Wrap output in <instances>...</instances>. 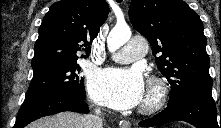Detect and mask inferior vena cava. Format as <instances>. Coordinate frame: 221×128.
<instances>
[{"instance_id":"1","label":"inferior vena cava","mask_w":221,"mask_h":128,"mask_svg":"<svg viewBox=\"0 0 221 128\" xmlns=\"http://www.w3.org/2000/svg\"><path fill=\"white\" fill-rule=\"evenodd\" d=\"M101 110L95 109L94 114H89L84 117L85 128H103V122L100 118Z\"/></svg>"}]
</instances>
